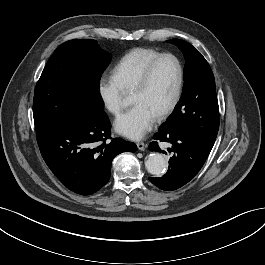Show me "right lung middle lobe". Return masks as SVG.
<instances>
[{"label": "right lung middle lobe", "mask_w": 265, "mask_h": 265, "mask_svg": "<svg viewBox=\"0 0 265 265\" xmlns=\"http://www.w3.org/2000/svg\"><path fill=\"white\" fill-rule=\"evenodd\" d=\"M111 57L97 41L70 40L61 44L36 85L33 115L36 133L85 107L103 110L100 78Z\"/></svg>", "instance_id": "obj_1"}]
</instances>
